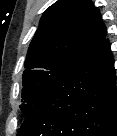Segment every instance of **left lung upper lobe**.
I'll use <instances>...</instances> for the list:
<instances>
[{
	"mask_svg": "<svg viewBox=\"0 0 117 136\" xmlns=\"http://www.w3.org/2000/svg\"><path fill=\"white\" fill-rule=\"evenodd\" d=\"M106 27L90 0H58L42 15L23 72L21 111L27 115L58 80L105 40Z\"/></svg>",
	"mask_w": 117,
	"mask_h": 136,
	"instance_id": "5c2ea615",
	"label": "left lung upper lobe"
}]
</instances>
